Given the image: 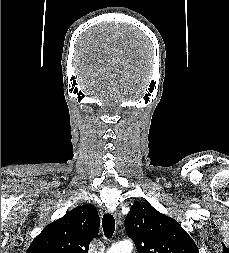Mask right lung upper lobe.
<instances>
[{
  "instance_id": "obj_1",
  "label": "right lung upper lobe",
  "mask_w": 229,
  "mask_h": 253,
  "mask_svg": "<svg viewBox=\"0 0 229 253\" xmlns=\"http://www.w3.org/2000/svg\"><path fill=\"white\" fill-rule=\"evenodd\" d=\"M99 226L97 209L91 205H80L47 225L26 253H88Z\"/></svg>"
}]
</instances>
